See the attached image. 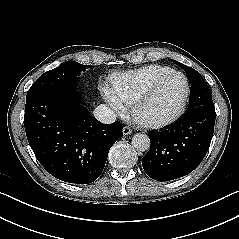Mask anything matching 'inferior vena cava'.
Wrapping results in <instances>:
<instances>
[{
  "label": "inferior vena cava",
  "instance_id": "obj_1",
  "mask_svg": "<svg viewBox=\"0 0 239 239\" xmlns=\"http://www.w3.org/2000/svg\"><path fill=\"white\" fill-rule=\"evenodd\" d=\"M93 113L94 117L104 124H110L116 120V113L105 104L97 106Z\"/></svg>",
  "mask_w": 239,
  "mask_h": 239
}]
</instances>
